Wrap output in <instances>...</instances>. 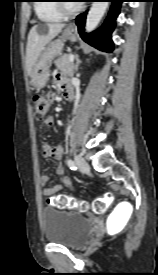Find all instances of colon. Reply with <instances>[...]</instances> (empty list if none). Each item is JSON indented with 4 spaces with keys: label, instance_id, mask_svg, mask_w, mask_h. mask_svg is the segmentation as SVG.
I'll use <instances>...</instances> for the list:
<instances>
[{
    "label": "colon",
    "instance_id": "colon-1",
    "mask_svg": "<svg viewBox=\"0 0 158 275\" xmlns=\"http://www.w3.org/2000/svg\"><path fill=\"white\" fill-rule=\"evenodd\" d=\"M34 115L37 120H43L50 108V99L46 96L37 94L33 97ZM113 201V194L105 193L102 197L93 202L78 201L70 196H53L46 200L47 205L58 209H79L82 212L92 210L96 214H102Z\"/></svg>",
    "mask_w": 158,
    "mask_h": 275
}]
</instances>
